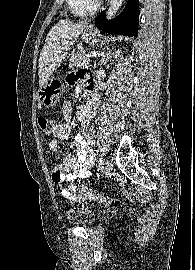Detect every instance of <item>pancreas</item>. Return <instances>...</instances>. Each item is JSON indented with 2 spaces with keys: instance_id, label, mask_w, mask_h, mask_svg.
<instances>
[{
  "instance_id": "pancreas-1",
  "label": "pancreas",
  "mask_w": 195,
  "mask_h": 270,
  "mask_svg": "<svg viewBox=\"0 0 195 270\" xmlns=\"http://www.w3.org/2000/svg\"><path fill=\"white\" fill-rule=\"evenodd\" d=\"M89 57H87V54L85 50H79L72 54L69 66L72 67H82L88 64Z\"/></svg>"
}]
</instances>
